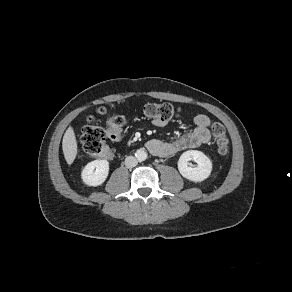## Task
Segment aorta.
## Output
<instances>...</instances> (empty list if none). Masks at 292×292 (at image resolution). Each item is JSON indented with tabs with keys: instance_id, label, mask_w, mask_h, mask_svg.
I'll use <instances>...</instances> for the list:
<instances>
[{
	"instance_id": "1",
	"label": "aorta",
	"mask_w": 292,
	"mask_h": 292,
	"mask_svg": "<svg viewBox=\"0 0 292 292\" xmlns=\"http://www.w3.org/2000/svg\"><path fill=\"white\" fill-rule=\"evenodd\" d=\"M135 156L138 161L142 162L147 159L148 154L144 149H138L135 153Z\"/></svg>"
}]
</instances>
